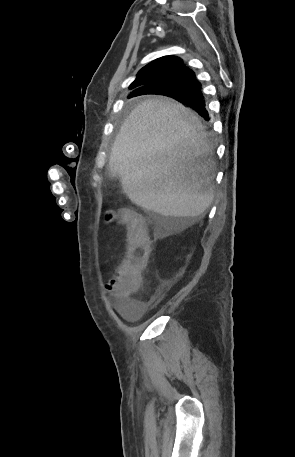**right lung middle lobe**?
Instances as JSON below:
<instances>
[{"mask_svg":"<svg viewBox=\"0 0 295 457\" xmlns=\"http://www.w3.org/2000/svg\"><path fill=\"white\" fill-rule=\"evenodd\" d=\"M155 94H162V95H167V96H172L174 94L173 89H167V90H158L154 92Z\"/></svg>","mask_w":295,"mask_h":457,"instance_id":"obj_1","label":"right lung middle lobe"}]
</instances>
